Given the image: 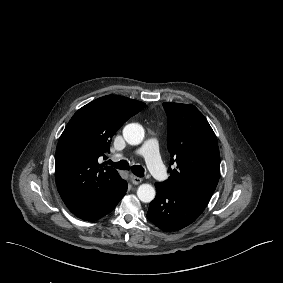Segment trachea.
I'll return each mask as SVG.
<instances>
[{
  "label": "trachea",
  "mask_w": 283,
  "mask_h": 283,
  "mask_svg": "<svg viewBox=\"0 0 283 283\" xmlns=\"http://www.w3.org/2000/svg\"><path fill=\"white\" fill-rule=\"evenodd\" d=\"M108 164L113 165L115 168L120 170H131L133 174L138 177L144 176V168L140 165H133L130 166L126 160H120L119 162H112L111 160L108 161Z\"/></svg>",
  "instance_id": "obj_1"
}]
</instances>
